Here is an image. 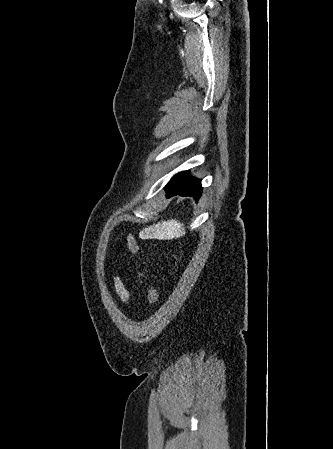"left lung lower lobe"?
Returning <instances> with one entry per match:
<instances>
[{
  "instance_id": "0a47b994",
  "label": "left lung lower lobe",
  "mask_w": 333,
  "mask_h": 449,
  "mask_svg": "<svg viewBox=\"0 0 333 449\" xmlns=\"http://www.w3.org/2000/svg\"><path fill=\"white\" fill-rule=\"evenodd\" d=\"M166 187L168 197L181 195L199 198L201 196V181L191 177L187 171L180 172L173 176Z\"/></svg>"
}]
</instances>
